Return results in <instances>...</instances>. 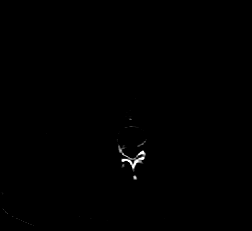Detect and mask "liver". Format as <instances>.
I'll return each instance as SVG.
<instances>
[{
  "mask_svg": "<svg viewBox=\"0 0 252 231\" xmlns=\"http://www.w3.org/2000/svg\"><path fill=\"white\" fill-rule=\"evenodd\" d=\"M143 54L133 52L114 58L110 62L111 80L106 63L96 64L61 95L50 118V131L59 149L74 133L102 123L105 111L99 102L107 100L113 91L134 76Z\"/></svg>",
  "mask_w": 252,
  "mask_h": 231,
  "instance_id": "6515ba94",
  "label": "liver"
}]
</instances>
